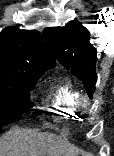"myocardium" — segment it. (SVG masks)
<instances>
[{"label": "myocardium", "instance_id": "myocardium-1", "mask_svg": "<svg viewBox=\"0 0 114 156\" xmlns=\"http://www.w3.org/2000/svg\"><path fill=\"white\" fill-rule=\"evenodd\" d=\"M77 105L78 107L87 110L91 106V99L85 94H80L77 99Z\"/></svg>", "mask_w": 114, "mask_h": 156}]
</instances>
